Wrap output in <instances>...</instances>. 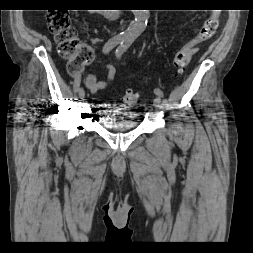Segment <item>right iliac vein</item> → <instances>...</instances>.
<instances>
[{
    "mask_svg": "<svg viewBox=\"0 0 253 253\" xmlns=\"http://www.w3.org/2000/svg\"><path fill=\"white\" fill-rule=\"evenodd\" d=\"M78 95H79L80 98H84V96H85V91H84L83 88H80V89H79Z\"/></svg>",
    "mask_w": 253,
    "mask_h": 253,
    "instance_id": "right-iliac-vein-1",
    "label": "right iliac vein"
}]
</instances>
